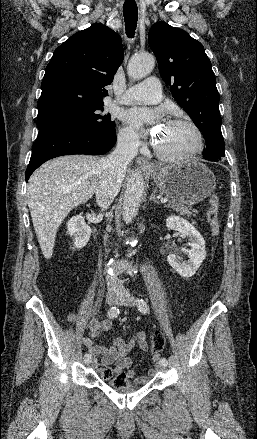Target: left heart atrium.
Here are the masks:
<instances>
[{"mask_svg":"<svg viewBox=\"0 0 257 439\" xmlns=\"http://www.w3.org/2000/svg\"><path fill=\"white\" fill-rule=\"evenodd\" d=\"M155 116L153 111L143 108H133L127 111L124 119L134 128L141 130Z\"/></svg>","mask_w":257,"mask_h":439,"instance_id":"1","label":"left heart atrium"}]
</instances>
